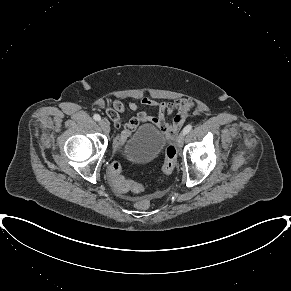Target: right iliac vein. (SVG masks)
<instances>
[{"instance_id": "63e3f726", "label": "right iliac vein", "mask_w": 291, "mask_h": 291, "mask_svg": "<svg viewBox=\"0 0 291 291\" xmlns=\"http://www.w3.org/2000/svg\"><path fill=\"white\" fill-rule=\"evenodd\" d=\"M99 125H100V127L102 128V130H103L105 133H109V131H110V126H109V123H108L106 120H104V119L100 120V121H99Z\"/></svg>"}]
</instances>
